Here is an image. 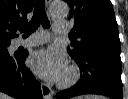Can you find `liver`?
Returning a JSON list of instances; mask_svg holds the SVG:
<instances>
[{
  "mask_svg": "<svg viewBox=\"0 0 128 99\" xmlns=\"http://www.w3.org/2000/svg\"><path fill=\"white\" fill-rule=\"evenodd\" d=\"M87 99V97H85ZM0 99H12L10 96L3 94L0 92ZM98 99H103L102 97H99Z\"/></svg>",
  "mask_w": 128,
  "mask_h": 99,
  "instance_id": "1",
  "label": "liver"
}]
</instances>
